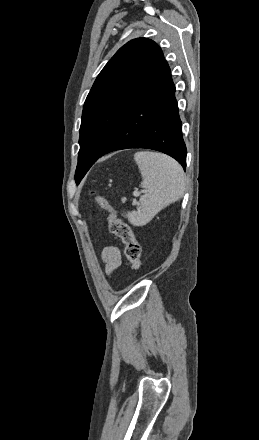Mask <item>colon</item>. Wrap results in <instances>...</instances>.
<instances>
[{"label": "colon", "instance_id": "colon-1", "mask_svg": "<svg viewBox=\"0 0 259 440\" xmlns=\"http://www.w3.org/2000/svg\"><path fill=\"white\" fill-rule=\"evenodd\" d=\"M94 201L105 211L108 212V224L110 233L118 237L124 244V253L127 260L130 262L131 267L137 270L141 266L142 248L138 240L136 239L131 227L119 219L108 200L101 195L91 192Z\"/></svg>", "mask_w": 259, "mask_h": 440}]
</instances>
